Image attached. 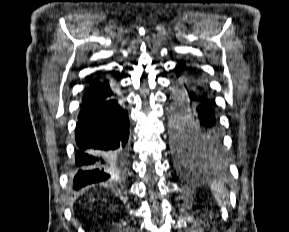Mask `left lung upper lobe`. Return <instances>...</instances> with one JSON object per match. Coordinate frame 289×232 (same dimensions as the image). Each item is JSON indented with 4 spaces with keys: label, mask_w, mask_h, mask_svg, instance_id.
Returning <instances> with one entry per match:
<instances>
[{
    "label": "left lung upper lobe",
    "mask_w": 289,
    "mask_h": 232,
    "mask_svg": "<svg viewBox=\"0 0 289 232\" xmlns=\"http://www.w3.org/2000/svg\"><path fill=\"white\" fill-rule=\"evenodd\" d=\"M173 146L182 153H211L220 148L212 145L197 130L190 118L183 114H174L171 123Z\"/></svg>",
    "instance_id": "5c2ea615"
}]
</instances>
